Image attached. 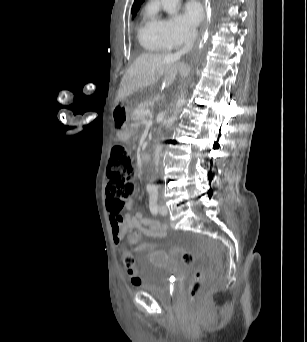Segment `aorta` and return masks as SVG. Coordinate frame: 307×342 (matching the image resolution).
<instances>
[{"label": "aorta", "instance_id": "762f6f07", "mask_svg": "<svg viewBox=\"0 0 307 342\" xmlns=\"http://www.w3.org/2000/svg\"><path fill=\"white\" fill-rule=\"evenodd\" d=\"M161 4L163 6V10L169 14V16H174L177 12V6L179 4V0H161ZM185 94H181L178 98V108H181L185 102ZM175 118H177L176 114H173L169 120H167V124H165V128H170L171 124L175 122Z\"/></svg>", "mask_w": 307, "mask_h": 342}]
</instances>
